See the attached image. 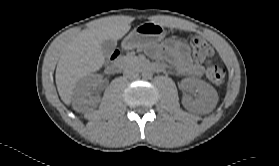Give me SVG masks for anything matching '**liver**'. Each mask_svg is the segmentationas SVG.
<instances>
[{
    "label": "liver",
    "instance_id": "1",
    "mask_svg": "<svg viewBox=\"0 0 279 166\" xmlns=\"http://www.w3.org/2000/svg\"><path fill=\"white\" fill-rule=\"evenodd\" d=\"M130 28L123 16L100 19L93 27L82 30L64 46L55 78L59 95L65 104L71 103L76 84L103 66L105 57L101 43L107 39H121Z\"/></svg>",
    "mask_w": 279,
    "mask_h": 166
}]
</instances>
